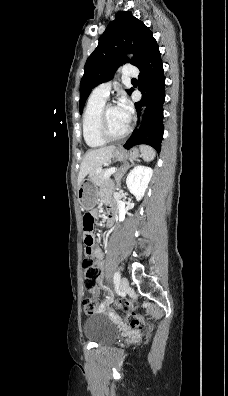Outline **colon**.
I'll use <instances>...</instances> for the list:
<instances>
[{
	"mask_svg": "<svg viewBox=\"0 0 228 396\" xmlns=\"http://www.w3.org/2000/svg\"><path fill=\"white\" fill-rule=\"evenodd\" d=\"M84 229V258L82 261L84 286L87 290H91L96 285V280L99 275V268L97 261L92 254V247L95 243V219L91 213H86L83 216ZM118 308L126 312V321L132 328L145 326V320L136 313V304L128 300H120L117 303ZM100 309L99 303L91 298L84 299L83 310L86 314H94Z\"/></svg>",
	"mask_w": 228,
	"mask_h": 396,
	"instance_id": "5ec220e1",
	"label": "colon"
}]
</instances>
